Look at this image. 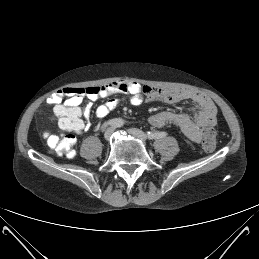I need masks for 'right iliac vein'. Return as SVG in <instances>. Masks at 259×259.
I'll return each instance as SVG.
<instances>
[{
	"label": "right iliac vein",
	"instance_id": "right-iliac-vein-1",
	"mask_svg": "<svg viewBox=\"0 0 259 259\" xmlns=\"http://www.w3.org/2000/svg\"><path fill=\"white\" fill-rule=\"evenodd\" d=\"M112 133H113V128H112V127L107 128V129L105 130V132H104V138H105L106 140H109L110 137H111V135H112Z\"/></svg>",
	"mask_w": 259,
	"mask_h": 259
}]
</instances>
